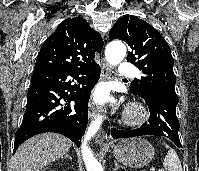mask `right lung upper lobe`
I'll return each mask as SVG.
<instances>
[{"label": "right lung upper lobe", "instance_id": "obj_1", "mask_svg": "<svg viewBox=\"0 0 199 171\" xmlns=\"http://www.w3.org/2000/svg\"><path fill=\"white\" fill-rule=\"evenodd\" d=\"M103 40L82 17L70 18L60 23L43 44L34 71L43 69H73L94 61Z\"/></svg>", "mask_w": 199, "mask_h": 171}]
</instances>
